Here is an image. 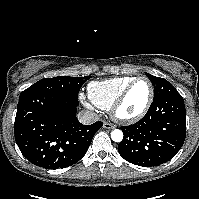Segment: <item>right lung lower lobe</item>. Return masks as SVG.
<instances>
[{
    "label": "right lung lower lobe",
    "mask_w": 199,
    "mask_h": 199,
    "mask_svg": "<svg viewBox=\"0 0 199 199\" xmlns=\"http://www.w3.org/2000/svg\"><path fill=\"white\" fill-rule=\"evenodd\" d=\"M78 104V99L46 93L19 97L14 132L24 157L46 169L78 162L103 125L81 124L76 117Z\"/></svg>",
    "instance_id": "right-lung-lower-lobe-1"
}]
</instances>
